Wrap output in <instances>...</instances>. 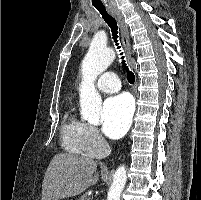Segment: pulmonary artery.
Instances as JSON below:
<instances>
[{
    "mask_svg": "<svg viewBox=\"0 0 201 200\" xmlns=\"http://www.w3.org/2000/svg\"><path fill=\"white\" fill-rule=\"evenodd\" d=\"M98 90L104 93H115L121 88L118 76L113 72L103 73L97 80Z\"/></svg>",
    "mask_w": 201,
    "mask_h": 200,
    "instance_id": "e3ab8cb5",
    "label": "pulmonary artery"
}]
</instances>
